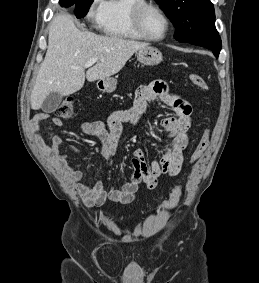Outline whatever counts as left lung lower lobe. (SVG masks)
<instances>
[{"instance_id":"left-lung-lower-lobe-1","label":"left lung lower lobe","mask_w":259,"mask_h":283,"mask_svg":"<svg viewBox=\"0 0 259 283\" xmlns=\"http://www.w3.org/2000/svg\"><path fill=\"white\" fill-rule=\"evenodd\" d=\"M190 44L198 45L210 49L213 51L216 57H218L221 50V39L219 36L215 39L190 42Z\"/></svg>"}]
</instances>
